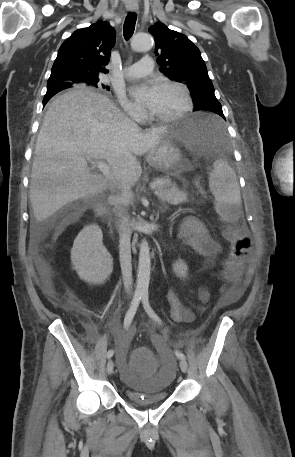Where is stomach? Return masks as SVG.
<instances>
[{"label": "stomach", "mask_w": 295, "mask_h": 457, "mask_svg": "<svg viewBox=\"0 0 295 457\" xmlns=\"http://www.w3.org/2000/svg\"><path fill=\"white\" fill-rule=\"evenodd\" d=\"M206 122L199 115H192L168 127L158 145L149 151L146 160L156 170L178 175L182 168L181 146L196 149L210 140Z\"/></svg>", "instance_id": "0dacf381"}]
</instances>
